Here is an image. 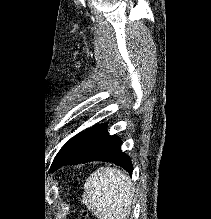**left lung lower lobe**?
Listing matches in <instances>:
<instances>
[{
    "mask_svg": "<svg viewBox=\"0 0 211 219\" xmlns=\"http://www.w3.org/2000/svg\"><path fill=\"white\" fill-rule=\"evenodd\" d=\"M90 161H109L132 173L130 158L121 151V139L110 136L105 124L95 125L72 137L54 158L51 169Z\"/></svg>",
    "mask_w": 211,
    "mask_h": 219,
    "instance_id": "obj_1",
    "label": "left lung lower lobe"
}]
</instances>
